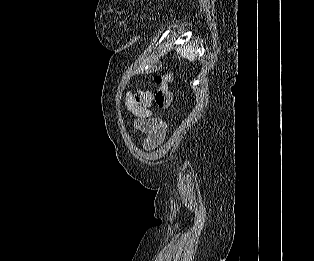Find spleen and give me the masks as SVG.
I'll return each mask as SVG.
<instances>
[{"instance_id": "1", "label": "spleen", "mask_w": 314, "mask_h": 261, "mask_svg": "<svg viewBox=\"0 0 314 261\" xmlns=\"http://www.w3.org/2000/svg\"><path fill=\"white\" fill-rule=\"evenodd\" d=\"M176 51L182 58L187 59L190 62H193L197 59L196 49L192 45L178 47L176 48Z\"/></svg>"}]
</instances>
